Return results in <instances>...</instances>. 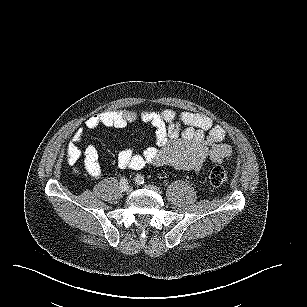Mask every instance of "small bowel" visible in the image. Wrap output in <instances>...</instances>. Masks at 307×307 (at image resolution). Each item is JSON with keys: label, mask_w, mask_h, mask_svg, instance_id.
I'll return each instance as SVG.
<instances>
[{"label": "small bowel", "mask_w": 307, "mask_h": 307, "mask_svg": "<svg viewBox=\"0 0 307 307\" xmlns=\"http://www.w3.org/2000/svg\"><path fill=\"white\" fill-rule=\"evenodd\" d=\"M142 121L155 129L156 146L137 153L127 147L117 155L121 169L139 170L146 165L171 166L179 170L199 172L210 160L221 163L232 157V148L225 144L224 128L215 124L206 114L185 112L177 115L171 109L155 111L119 110L95 114L85 121L90 130L101 127L123 128L129 123ZM83 131L77 130L67 145V160L70 164L82 156ZM84 164L88 174L99 177L102 173L99 153L94 146L84 150Z\"/></svg>", "instance_id": "c3829d8e"}]
</instances>
